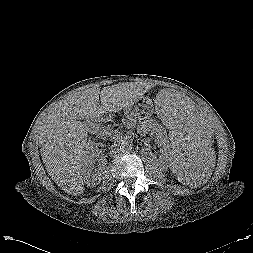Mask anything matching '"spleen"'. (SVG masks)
<instances>
[{"mask_svg": "<svg viewBox=\"0 0 253 253\" xmlns=\"http://www.w3.org/2000/svg\"><path fill=\"white\" fill-rule=\"evenodd\" d=\"M153 105L169 137L175 179L186 187L200 185L209 177L215 157V141L202 111L172 88L159 91Z\"/></svg>", "mask_w": 253, "mask_h": 253, "instance_id": "3e777b00", "label": "spleen"}]
</instances>
